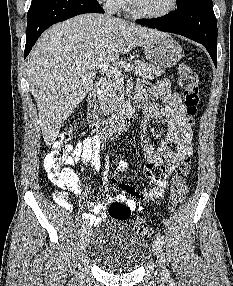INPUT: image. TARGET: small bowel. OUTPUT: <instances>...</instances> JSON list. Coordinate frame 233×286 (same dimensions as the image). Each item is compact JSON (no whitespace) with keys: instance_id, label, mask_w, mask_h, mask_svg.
Returning <instances> with one entry per match:
<instances>
[{"instance_id":"1","label":"small bowel","mask_w":233,"mask_h":286,"mask_svg":"<svg viewBox=\"0 0 233 286\" xmlns=\"http://www.w3.org/2000/svg\"><path fill=\"white\" fill-rule=\"evenodd\" d=\"M136 96L144 103L145 117L151 120L166 118L168 128L158 147L152 146L144 136L141 137V144L146 158L144 173L157 188L143 191L130 183L118 182L113 179V182L117 184L120 190L116 200L124 202L131 210L138 209L137 199L161 197L169 185L170 176L183 159L190 157L192 154V132L187 123L185 108L176 87L167 79L162 80L158 85L141 83L137 87ZM150 97L161 99L162 103L159 105L153 104ZM100 148V137L97 135L88 136L83 142L75 146L67 164L72 165L77 161H81L85 165H91L93 170L97 171L101 166ZM125 168L126 164L121 162L116 172H122ZM72 190L76 193L79 192V188ZM53 197L59 206L70 210L65 191L58 190ZM107 199L108 196L106 195L96 198L85 195L84 200L92 208V212L83 214V218L90 224L97 223L103 216L102 208Z\"/></svg>"}]
</instances>
